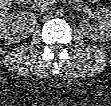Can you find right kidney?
I'll use <instances>...</instances> for the list:
<instances>
[{
  "label": "right kidney",
  "instance_id": "1",
  "mask_svg": "<svg viewBox=\"0 0 111 106\" xmlns=\"http://www.w3.org/2000/svg\"><path fill=\"white\" fill-rule=\"evenodd\" d=\"M36 17L28 11L13 12L2 19L1 38L8 43L20 42L33 32Z\"/></svg>",
  "mask_w": 111,
  "mask_h": 106
}]
</instances>
